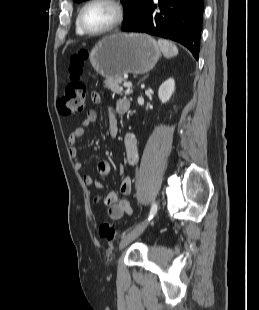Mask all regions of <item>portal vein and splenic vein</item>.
<instances>
[{"label":"portal vein and splenic vein","instance_id":"18ae733b","mask_svg":"<svg viewBox=\"0 0 259 310\" xmlns=\"http://www.w3.org/2000/svg\"><path fill=\"white\" fill-rule=\"evenodd\" d=\"M123 86L130 88V87H132V83L131 82H124Z\"/></svg>","mask_w":259,"mask_h":310}]
</instances>
